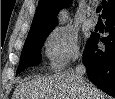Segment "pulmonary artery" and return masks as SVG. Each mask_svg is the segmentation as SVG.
Returning <instances> with one entry per match:
<instances>
[{"instance_id":"1","label":"pulmonary artery","mask_w":115,"mask_h":99,"mask_svg":"<svg viewBox=\"0 0 115 99\" xmlns=\"http://www.w3.org/2000/svg\"><path fill=\"white\" fill-rule=\"evenodd\" d=\"M88 24H89V26H91V27H95L96 25H97V18L96 17H90L89 19H88Z\"/></svg>"}]
</instances>
